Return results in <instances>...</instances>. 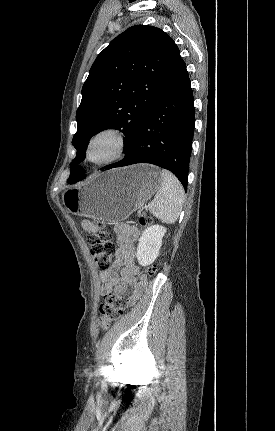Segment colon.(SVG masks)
I'll return each mask as SVG.
<instances>
[{"label": "colon", "instance_id": "1", "mask_svg": "<svg viewBox=\"0 0 275 431\" xmlns=\"http://www.w3.org/2000/svg\"><path fill=\"white\" fill-rule=\"evenodd\" d=\"M141 225L151 223V218L143 216L139 218ZM98 226H101L99 223ZM90 252L97 268L102 272L110 268L115 254V246L105 233H94L88 237ZM155 265L147 268L148 274H153ZM128 307V300L125 297V291L122 293H108L105 295V301L100 307L99 324L103 329H107L113 322L119 320L124 315Z\"/></svg>", "mask_w": 275, "mask_h": 431}]
</instances>
